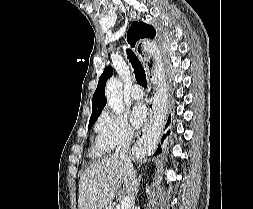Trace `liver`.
<instances>
[{
	"label": "liver",
	"mask_w": 253,
	"mask_h": 209,
	"mask_svg": "<svg viewBox=\"0 0 253 209\" xmlns=\"http://www.w3.org/2000/svg\"><path fill=\"white\" fill-rule=\"evenodd\" d=\"M121 184L130 196V177L124 159L111 154L93 163L79 180V209H111Z\"/></svg>",
	"instance_id": "1"
}]
</instances>
